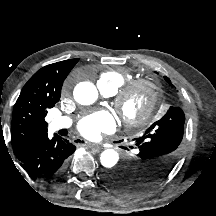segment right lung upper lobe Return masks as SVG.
<instances>
[{"mask_svg": "<svg viewBox=\"0 0 216 216\" xmlns=\"http://www.w3.org/2000/svg\"><path fill=\"white\" fill-rule=\"evenodd\" d=\"M78 61L70 59L47 65L22 88L12 116L11 141L16 157L47 134V110L59 101L62 84Z\"/></svg>", "mask_w": 216, "mask_h": 216, "instance_id": "cb5924a9", "label": "right lung upper lobe"}]
</instances>
